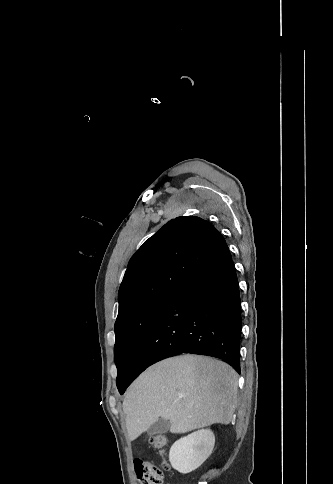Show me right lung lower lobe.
<instances>
[{
    "label": "right lung lower lobe",
    "mask_w": 333,
    "mask_h": 484,
    "mask_svg": "<svg viewBox=\"0 0 333 484\" xmlns=\"http://www.w3.org/2000/svg\"><path fill=\"white\" fill-rule=\"evenodd\" d=\"M241 329L239 284L227 252L167 301L140 343L120 394L151 364L182 353L223 359L240 373Z\"/></svg>",
    "instance_id": "right-lung-lower-lobe-1"
}]
</instances>
